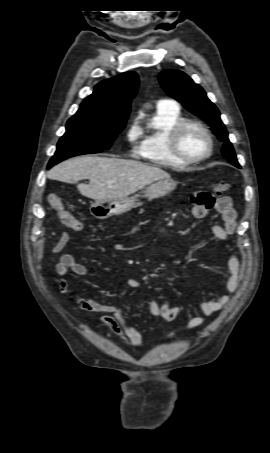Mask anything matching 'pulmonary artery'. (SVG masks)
Masks as SVG:
<instances>
[{
  "label": "pulmonary artery",
  "mask_w": 270,
  "mask_h": 453,
  "mask_svg": "<svg viewBox=\"0 0 270 453\" xmlns=\"http://www.w3.org/2000/svg\"><path fill=\"white\" fill-rule=\"evenodd\" d=\"M174 105H175V103L172 101H169V100H160L157 103L158 108H165V107H170V106H174Z\"/></svg>",
  "instance_id": "1"
}]
</instances>
